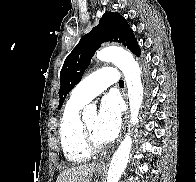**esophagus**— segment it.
I'll list each match as a JSON object with an SVG mask.
<instances>
[{"mask_svg":"<svg viewBox=\"0 0 196 182\" xmlns=\"http://www.w3.org/2000/svg\"><path fill=\"white\" fill-rule=\"evenodd\" d=\"M128 118V111L126 112V115H125V123H126V120ZM124 123V124H125ZM125 128V127H124ZM97 167H105V163L101 162V163H98Z\"/></svg>","mask_w":196,"mask_h":182,"instance_id":"34e87169","label":"esophagus"}]
</instances>
